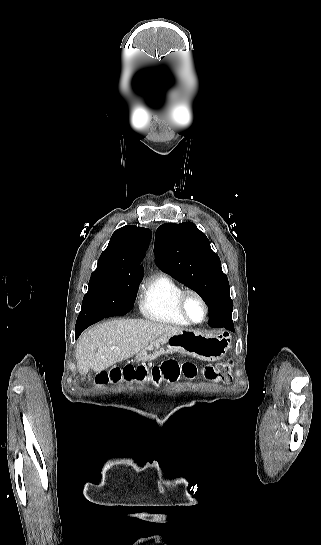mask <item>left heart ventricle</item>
Wrapping results in <instances>:
<instances>
[{"instance_id":"b2bd125f","label":"left heart ventricle","mask_w":321,"mask_h":545,"mask_svg":"<svg viewBox=\"0 0 321 545\" xmlns=\"http://www.w3.org/2000/svg\"><path fill=\"white\" fill-rule=\"evenodd\" d=\"M185 307L187 313L193 320L200 321L202 319L204 310L197 297L193 295L188 296L185 302Z\"/></svg>"}]
</instances>
